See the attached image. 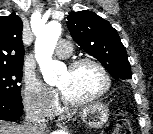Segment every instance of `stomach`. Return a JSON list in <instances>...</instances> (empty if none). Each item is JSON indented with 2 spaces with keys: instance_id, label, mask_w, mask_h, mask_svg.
Listing matches in <instances>:
<instances>
[{
  "instance_id": "1",
  "label": "stomach",
  "mask_w": 153,
  "mask_h": 134,
  "mask_svg": "<svg viewBox=\"0 0 153 134\" xmlns=\"http://www.w3.org/2000/svg\"><path fill=\"white\" fill-rule=\"evenodd\" d=\"M79 116L87 128L97 129L102 127L108 120L109 109L106 105L94 103L83 108Z\"/></svg>"
}]
</instances>
